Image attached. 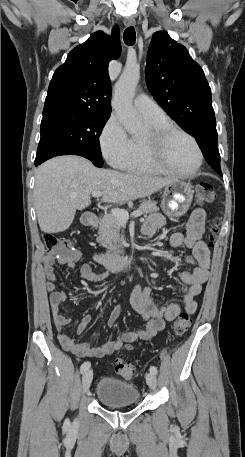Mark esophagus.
I'll use <instances>...</instances> for the list:
<instances>
[{
  "instance_id": "34e87169",
  "label": "esophagus",
  "mask_w": 245,
  "mask_h": 457,
  "mask_svg": "<svg viewBox=\"0 0 245 457\" xmlns=\"http://www.w3.org/2000/svg\"><path fill=\"white\" fill-rule=\"evenodd\" d=\"M135 23H136V21H135V18H133V17H128L124 20V25L126 27L133 26V25H135Z\"/></svg>"
}]
</instances>
